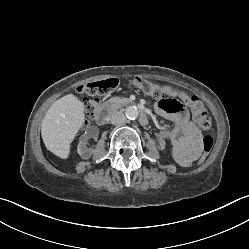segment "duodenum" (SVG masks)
Instances as JSON below:
<instances>
[{
	"label": "duodenum",
	"mask_w": 249,
	"mask_h": 249,
	"mask_svg": "<svg viewBox=\"0 0 249 249\" xmlns=\"http://www.w3.org/2000/svg\"><path fill=\"white\" fill-rule=\"evenodd\" d=\"M127 104L133 105L134 103L127 101ZM137 109L139 110L140 116H139V121L142 125H146L148 123V118L146 115V112L142 106L137 105ZM110 112V107L105 106L98 108L95 114V119L98 123H103L106 121L108 115Z\"/></svg>",
	"instance_id": "1"
}]
</instances>
